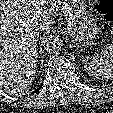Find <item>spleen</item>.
I'll return each instance as SVG.
<instances>
[{
    "instance_id": "spleen-1",
    "label": "spleen",
    "mask_w": 113,
    "mask_h": 113,
    "mask_svg": "<svg viewBox=\"0 0 113 113\" xmlns=\"http://www.w3.org/2000/svg\"><path fill=\"white\" fill-rule=\"evenodd\" d=\"M83 67L88 74L96 79H113V42L106 45L103 55L87 56Z\"/></svg>"
}]
</instances>
